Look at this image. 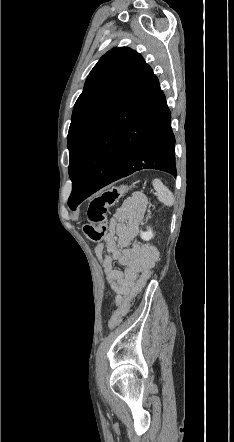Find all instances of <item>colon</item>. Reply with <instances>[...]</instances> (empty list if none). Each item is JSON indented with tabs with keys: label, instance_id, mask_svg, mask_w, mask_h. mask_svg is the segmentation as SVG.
<instances>
[{
	"label": "colon",
	"instance_id": "5ec220e1",
	"mask_svg": "<svg viewBox=\"0 0 234 442\" xmlns=\"http://www.w3.org/2000/svg\"><path fill=\"white\" fill-rule=\"evenodd\" d=\"M126 190V186L111 188L103 191L100 195L92 199L87 211L90 224H86L84 226V232L90 240L97 242L105 237L108 230L106 226L108 208L113 206L126 192ZM154 266H157V263H154ZM150 275V271L142 274L120 309L113 314L109 322L110 329L115 328L121 322L122 318L126 315L130 308L131 300L144 287L147 280L150 278Z\"/></svg>",
	"mask_w": 234,
	"mask_h": 442
}]
</instances>
